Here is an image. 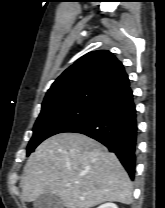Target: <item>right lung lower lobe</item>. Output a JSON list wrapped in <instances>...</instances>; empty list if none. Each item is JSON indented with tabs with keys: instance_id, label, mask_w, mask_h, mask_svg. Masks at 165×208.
Here are the masks:
<instances>
[{
	"instance_id": "obj_1",
	"label": "right lung lower lobe",
	"mask_w": 165,
	"mask_h": 208,
	"mask_svg": "<svg viewBox=\"0 0 165 208\" xmlns=\"http://www.w3.org/2000/svg\"><path fill=\"white\" fill-rule=\"evenodd\" d=\"M136 109L131 88L111 94L65 132L85 134L114 152L130 178L135 175L137 145Z\"/></svg>"
}]
</instances>
